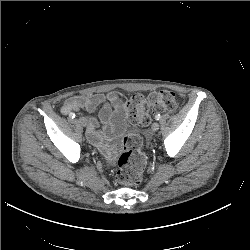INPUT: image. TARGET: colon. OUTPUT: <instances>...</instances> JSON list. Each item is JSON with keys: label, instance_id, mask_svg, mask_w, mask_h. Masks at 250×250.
Returning <instances> with one entry per match:
<instances>
[{"label": "colon", "instance_id": "1", "mask_svg": "<svg viewBox=\"0 0 250 250\" xmlns=\"http://www.w3.org/2000/svg\"><path fill=\"white\" fill-rule=\"evenodd\" d=\"M178 106L176 95L169 90H159L148 96L134 95L127 105V117L131 124L147 126L151 111H175ZM142 139L139 135L124 138L123 153L118 160L117 180L124 185L136 186L143 176L146 159L142 151Z\"/></svg>", "mask_w": 250, "mask_h": 250}]
</instances>
